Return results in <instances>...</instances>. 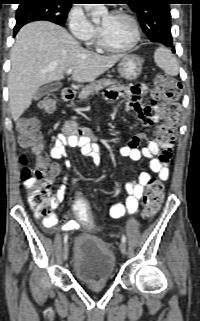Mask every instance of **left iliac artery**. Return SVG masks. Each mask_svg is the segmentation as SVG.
<instances>
[{
	"mask_svg": "<svg viewBox=\"0 0 200 321\" xmlns=\"http://www.w3.org/2000/svg\"><path fill=\"white\" fill-rule=\"evenodd\" d=\"M121 240H122L123 243H125V242H126V236H125V235H122Z\"/></svg>",
	"mask_w": 200,
	"mask_h": 321,
	"instance_id": "44dca946",
	"label": "left iliac artery"
}]
</instances>
